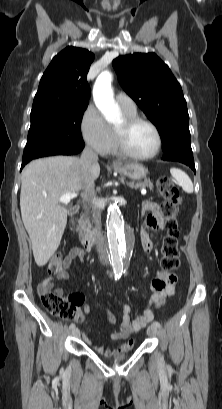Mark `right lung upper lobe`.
Wrapping results in <instances>:
<instances>
[{"instance_id": "obj_1", "label": "right lung upper lobe", "mask_w": 222, "mask_h": 409, "mask_svg": "<svg viewBox=\"0 0 222 409\" xmlns=\"http://www.w3.org/2000/svg\"><path fill=\"white\" fill-rule=\"evenodd\" d=\"M94 54L69 46L57 54L44 72L32 109L59 104H88L86 80Z\"/></svg>"}]
</instances>
